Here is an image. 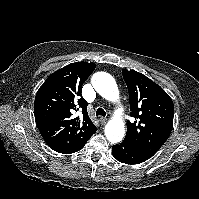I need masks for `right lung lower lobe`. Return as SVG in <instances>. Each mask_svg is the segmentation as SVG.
<instances>
[{
    "label": "right lung lower lobe",
    "instance_id": "right-lung-lower-lobe-1",
    "mask_svg": "<svg viewBox=\"0 0 199 199\" xmlns=\"http://www.w3.org/2000/svg\"><path fill=\"white\" fill-rule=\"evenodd\" d=\"M87 141H85V142H83V143L79 144L78 146L73 147L71 149H53V150H55L59 153H63V154H71V153H74V152L81 150L84 147V145L86 144Z\"/></svg>",
    "mask_w": 199,
    "mask_h": 199
}]
</instances>
